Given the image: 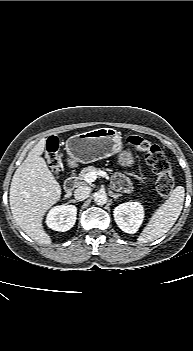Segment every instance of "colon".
<instances>
[{
	"label": "colon",
	"mask_w": 193,
	"mask_h": 351,
	"mask_svg": "<svg viewBox=\"0 0 193 351\" xmlns=\"http://www.w3.org/2000/svg\"><path fill=\"white\" fill-rule=\"evenodd\" d=\"M127 143L136 151L146 157V161L156 174V190L162 198H167L174 188V177L171 165L168 162L161 148L149 140L139 136L130 135ZM59 141L56 137H51L46 143L45 158L54 175H59L61 170L59 159Z\"/></svg>",
	"instance_id": "1"
}]
</instances>
